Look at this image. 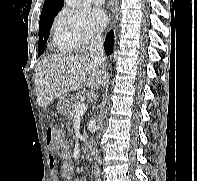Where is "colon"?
<instances>
[{
	"label": "colon",
	"instance_id": "1",
	"mask_svg": "<svg viewBox=\"0 0 197 181\" xmlns=\"http://www.w3.org/2000/svg\"><path fill=\"white\" fill-rule=\"evenodd\" d=\"M48 146L53 153H58L63 144V138L56 127H48L46 130Z\"/></svg>",
	"mask_w": 197,
	"mask_h": 181
}]
</instances>
